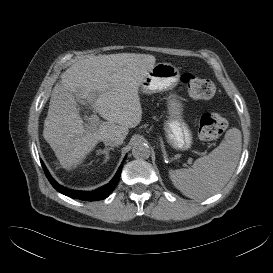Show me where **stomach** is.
Instances as JSON below:
<instances>
[{"instance_id": "1", "label": "stomach", "mask_w": 273, "mask_h": 273, "mask_svg": "<svg viewBox=\"0 0 273 273\" xmlns=\"http://www.w3.org/2000/svg\"><path fill=\"white\" fill-rule=\"evenodd\" d=\"M180 77L179 69L171 63H157L148 72L140 84V91L153 94L161 91L173 90ZM169 119L164 130L166 139L176 149L186 150L192 144V132L183 120V105L176 95L168 99Z\"/></svg>"}]
</instances>
